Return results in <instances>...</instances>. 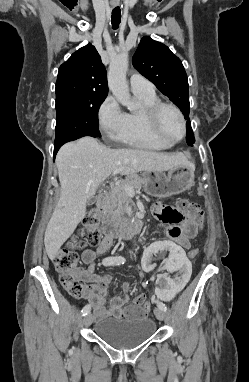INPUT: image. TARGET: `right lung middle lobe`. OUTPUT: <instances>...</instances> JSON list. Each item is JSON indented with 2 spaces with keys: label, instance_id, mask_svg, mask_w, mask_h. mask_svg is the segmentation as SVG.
I'll return each instance as SVG.
<instances>
[{
  "label": "right lung middle lobe",
  "instance_id": "right-lung-middle-lobe-1",
  "mask_svg": "<svg viewBox=\"0 0 249 382\" xmlns=\"http://www.w3.org/2000/svg\"><path fill=\"white\" fill-rule=\"evenodd\" d=\"M105 98L56 107L55 144L84 136L101 137L98 130V109Z\"/></svg>",
  "mask_w": 249,
  "mask_h": 382
}]
</instances>
